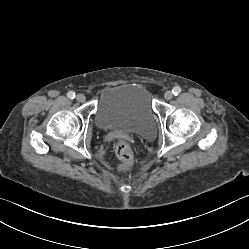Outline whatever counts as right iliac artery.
<instances>
[{"mask_svg":"<svg viewBox=\"0 0 249 249\" xmlns=\"http://www.w3.org/2000/svg\"><path fill=\"white\" fill-rule=\"evenodd\" d=\"M67 96H68V98H70V99H74V98H75V93L72 92V91H70V92H68Z\"/></svg>","mask_w":249,"mask_h":249,"instance_id":"right-iliac-artery-1","label":"right iliac artery"}]
</instances>
